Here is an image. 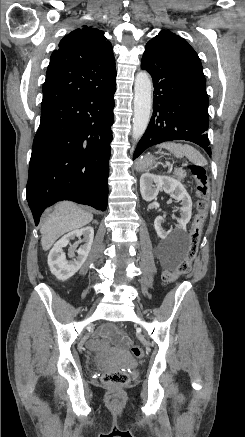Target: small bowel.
Listing matches in <instances>:
<instances>
[{
  "label": "small bowel",
  "instance_id": "1",
  "mask_svg": "<svg viewBox=\"0 0 245 437\" xmlns=\"http://www.w3.org/2000/svg\"><path fill=\"white\" fill-rule=\"evenodd\" d=\"M108 334L114 336L116 340L122 345H127L129 343V340L126 337L121 336L113 331H108Z\"/></svg>",
  "mask_w": 245,
  "mask_h": 437
}]
</instances>
